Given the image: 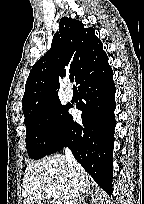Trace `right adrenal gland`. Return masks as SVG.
Returning <instances> with one entry per match:
<instances>
[{"instance_id": "1", "label": "right adrenal gland", "mask_w": 144, "mask_h": 204, "mask_svg": "<svg viewBox=\"0 0 144 204\" xmlns=\"http://www.w3.org/2000/svg\"><path fill=\"white\" fill-rule=\"evenodd\" d=\"M91 193H92V191H90V188H83L82 194H86V196H89V194H91ZM82 197L83 196L79 197L78 204H80Z\"/></svg>"}]
</instances>
